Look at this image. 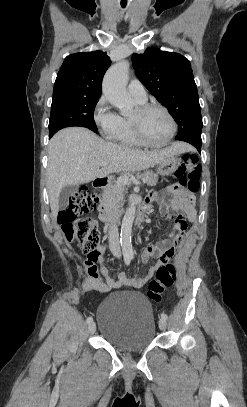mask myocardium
Segmentation results:
<instances>
[{"instance_id":"1","label":"myocardium","mask_w":247,"mask_h":407,"mask_svg":"<svg viewBox=\"0 0 247 407\" xmlns=\"http://www.w3.org/2000/svg\"><path fill=\"white\" fill-rule=\"evenodd\" d=\"M154 109H158V110H161L162 112H164L166 114V116L169 118V120L171 122V126H172V130H171L169 137L162 143L149 142L148 140L145 139V137L142 133V130H141L140 117L143 114L147 113L148 111L154 110ZM136 111H137V116L130 117L129 121H130L133 135H134L135 139L141 145L150 147V148H161V147L168 145L173 140V138L175 137V135L177 133L178 125H177V122H176L174 116L172 115V113L165 106L160 105V104H155V103L142 104L136 108Z\"/></svg>"}]
</instances>
